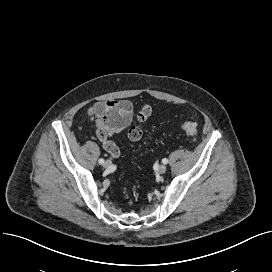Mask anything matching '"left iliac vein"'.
Wrapping results in <instances>:
<instances>
[{
	"mask_svg": "<svg viewBox=\"0 0 272 272\" xmlns=\"http://www.w3.org/2000/svg\"><path fill=\"white\" fill-rule=\"evenodd\" d=\"M166 170H167V167H166V165H164V164H162V165H160V166L158 167V172H159L160 174L165 173Z\"/></svg>",
	"mask_w": 272,
	"mask_h": 272,
	"instance_id": "4c4485c4",
	"label": "left iliac vein"
}]
</instances>
